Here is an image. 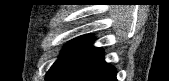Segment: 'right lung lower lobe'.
I'll return each instance as SVG.
<instances>
[{
	"instance_id": "right-lung-lower-lobe-1",
	"label": "right lung lower lobe",
	"mask_w": 169,
	"mask_h": 81,
	"mask_svg": "<svg viewBox=\"0 0 169 81\" xmlns=\"http://www.w3.org/2000/svg\"><path fill=\"white\" fill-rule=\"evenodd\" d=\"M91 36L68 43L46 74V81H116V69L103 59Z\"/></svg>"
}]
</instances>
